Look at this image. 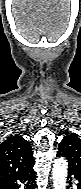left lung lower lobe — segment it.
I'll list each match as a JSON object with an SVG mask.
<instances>
[{"instance_id": "left-lung-lower-lobe-1", "label": "left lung lower lobe", "mask_w": 81, "mask_h": 189, "mask_svg": "<svg viewBox=\"0 0 81 189\" xmlns=\"http://www.w3.org/2000/svg\"><path fill=\"white\" fill-rule=\"evenodd\" d=\"M71 176H74V175L69 173L68 178H70ZM74 178L79 181V183L77 184V188L81 189V178L76 177V176H74ZM71 180H72V178H71Z\"/></svg>"}]
</instances>
